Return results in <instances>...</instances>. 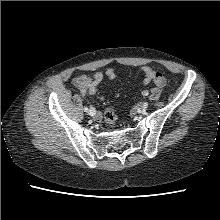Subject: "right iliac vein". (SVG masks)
<instances>
[{"label": "right iliac vein", "mask_w": 220, "mask_h": 220, "mask_svg": "<svg viewBox=\"0 0 220 220\" xmlns=\"http://www.w3.org/2000/svg\"><path fill=\"white\" fill-rule=\"evenodd\" d=\"M95 112L96 111L93 108H91L88 113L90 116H94L96 114Z\"/></svg>", "instance_id": "1"}]
</instances>
